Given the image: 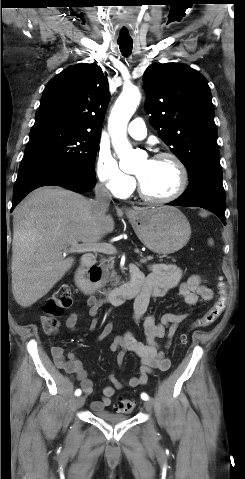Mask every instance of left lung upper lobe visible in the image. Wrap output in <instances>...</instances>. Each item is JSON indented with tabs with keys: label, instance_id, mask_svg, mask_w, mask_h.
Segmentation results:
<instances>
[{
	"label": "left lung upper lobe",
	"instance_id": "left-lung-upper-lobe-1",
	"mask_svg": "<svg viewBox=\"0 0 245 479\" xmlns=\"http://www.w3.org/2000/svg\"><path fill=\"white\" fill-rule=\"evenodd\" d=\"M143 83L152 126L186 167L189 180L220 166L211 91L205 77L185 64L155 63Z\"/></svg>",
	"mask_w": 245,
	"mask_h": 479
}]
</instances>
